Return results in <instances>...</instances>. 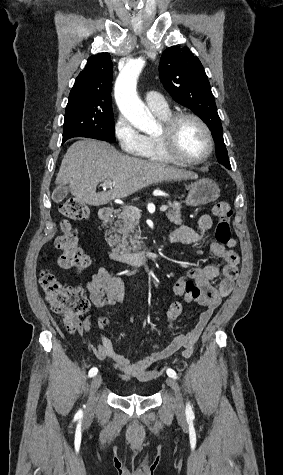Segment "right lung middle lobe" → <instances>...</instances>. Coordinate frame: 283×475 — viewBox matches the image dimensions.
<instances>
[{"label": "right lung middle lobe", "instance_id": "right-lung-middle-lobe-1", "mask_svg": "<svg viewBox=\"0 0 283 475\" xmlns=\"http://www.w3.org/2000/svg\"><path fill=\"white\" fill-rule=\"evenodd\" d=\"M79 136L115 142L112 104L69 100L65 111L63 140Z\"/></svg>", "mask_w": 283, "mask_h": 475}]
</instances>
